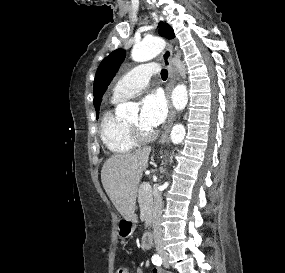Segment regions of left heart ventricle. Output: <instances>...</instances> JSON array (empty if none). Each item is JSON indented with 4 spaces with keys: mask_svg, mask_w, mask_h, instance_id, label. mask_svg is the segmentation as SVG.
<instances>
[{
    "mask_svg": "<svg viewBox=\"0 0 285 273\" xmlns=\"http://www.w3.org/2000/svg\"><path fill=\"white\" fill-rule=\"evenodd\" d=\"M127 123H128L129 125H131V126H137V127H139V128H140L141 130H143L144 132H147V133L151 132L150 129H146V128H144V127H142V126L140 125L139 116H138L137 114H135L134 116H132V117L127 121Z\"/></svg>",
    "mask_w": 285,
    "mask_h": 273,
    "instance_id": "obj_1",
    "label": "left heart ventricle"
}]
</instances>
